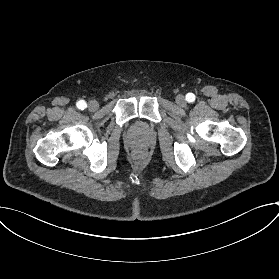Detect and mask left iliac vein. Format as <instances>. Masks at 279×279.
<instances>
[{"mask_svg": "<svg viewBox=\"0 0 279 279\" xmlns=\"http://www.w3.org/2000/svg\"><path fill=\"white\" fill-rule=\"evenodd\" d=\"M176 104L181 106V107H184V106L187 105V101L182 94H179V95L176 96Z\"/></svg>", "mask_w": 279, "mask_h": 279, "instance_id": "1", "label": "left iliac vein"}]
</instances>
